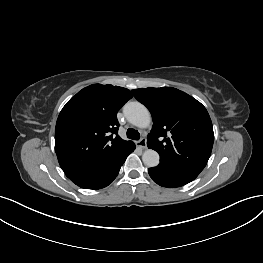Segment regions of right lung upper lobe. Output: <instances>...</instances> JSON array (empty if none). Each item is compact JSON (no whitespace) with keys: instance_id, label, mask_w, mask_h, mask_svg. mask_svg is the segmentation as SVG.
<instances>
[{"instance_id":"1","label":"right lung upper lobe","mask_w":263,"mask_h":263,"mask_svg":"<svg viewBox=\"0 0 263 263\" xmlns=\"http://www.w3.org/2000/svg\"><path fill=\"white\" fill-rule=\"evenodd\" d=\"M133 97L119 86L94 84L73 96L55 128V151L68 178L97 170L134 145L118 135L117 112Z\"/></svg>"}]
</instances>
